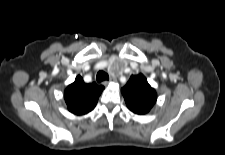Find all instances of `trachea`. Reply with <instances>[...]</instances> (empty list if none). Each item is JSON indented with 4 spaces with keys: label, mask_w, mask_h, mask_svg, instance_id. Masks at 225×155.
I'll use <instances>...</instances> for the list:
<instances>
[{
    "label": "trachea",
    "mask_w": 225,
    "mask_h": 155,
    "mask_svg": "<svg viewBox=\"0 0 225 155\" xmlns=\"http://www.w3.org/2000/svg\"><path fill=\"white\" fill-rule=\"evenodd\" d=\"M96 79H97V81L100 83V82H102V81L109 80V76H108V74H107L106 72H104V71H99V72L97 73Z\"/></svg>",
    "instance_id": "obj_1"
}]
</instances>
